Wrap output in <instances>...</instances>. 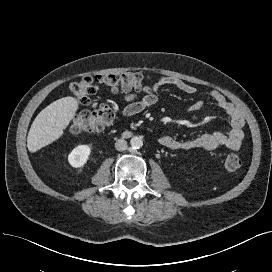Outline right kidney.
<instances>
[{
    "label": "right kidney",
    "mask_w": 272,
    "mask_h": 272,
    "mask_svg": "<svg viewBox=\"0 0 272 272\" xmlns=\"http://www.w3.org/2000/svg\"><path fill=\"white\" fill-rule=\"evenodd\" d=\"M90 153L91 148L88 145H79L68 155V162L72 167H82L87 162Z\"/></svg>",
    "instance_id": "1"
}]
</instances>
